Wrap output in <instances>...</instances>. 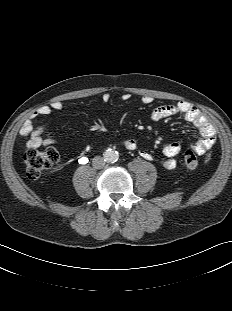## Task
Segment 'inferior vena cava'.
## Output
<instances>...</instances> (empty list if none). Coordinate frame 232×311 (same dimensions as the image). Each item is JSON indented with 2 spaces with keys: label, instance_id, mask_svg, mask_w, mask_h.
<instances>
[{
  "label": "inferior vena cava",
  "instance_id": "obj_1",
  "mask_svg": "<svg viewBox=\"0 0 232 311\" xmlns=\"http://www.w3.org/2000/svg\"><path fill=\"white\" fill-rule=\"evenodd\" d=\"M92 165L95 169H101L105 165V160L101 156H96L92 159Z\"/></svg>",
  "mask_w": 232,
  "mask_h": 311
}]
</instances>
